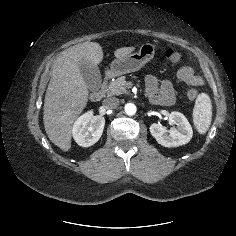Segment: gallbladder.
I'll use <instances>...</instances> for the list:
<instances>
[{
  "mask_svg": "<svg viewBox=\"0 0 236 236\" xmlns=\"http://www.w3.org/2000/svg\"><path fill=\"white\" fill-rule=\"evenodd\" d=\"M79 68L88 89L98 91L102 82L98 66L87 59H82L79 62Z\"/></svg>",
  "mask_w": 236,
  "mask_h": 236,
  "instance_id": "bac80fb5",
  "label": "gallbladder"
}]
</instances>
